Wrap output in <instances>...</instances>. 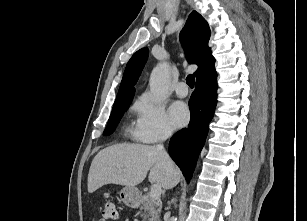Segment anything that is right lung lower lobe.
<instances>
[{
	"mask_svg": "<svg viewBox=\"0 0 307 221\" xmlns=\"http://www.w3.org/2000/svg\"><path fill=\"white\" fill-rule=\"evenodd\" d=\"M217 103L216 80L207 83L196 82L195 90L189 101L191 120L188 128L173 135L169 142V154L189 182L196 160L204 146L208 124Z\"/></svg>",
	"mask_w": 307,
	"mask_h": 221,
	"instance_id": "1",
	"label": "right lung lower lobe"
}]
</instances>
